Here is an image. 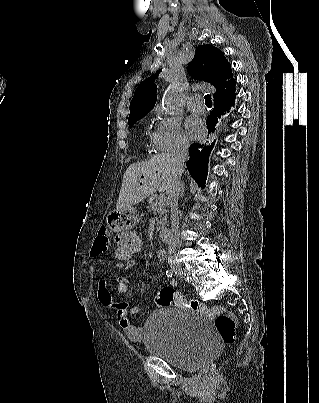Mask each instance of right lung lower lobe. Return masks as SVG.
I'll return each mask as SVG.
<instances>
[{
    "mask_svg": "<svg viewBox=\"0 0 319 403\" xmlns=\"http://www.w3.org/2000/svg\"><path fill=\"white\" fill-rule=\"evenodd\" d=\"M235 97L236 93L234 91L229 95L214 100V111L211 112L206 120L209 133L215 130L218 118H220L224 112L228 111L230 106L234 105ZM213 145L214 142L210 146L193 143L189 149L190 158L186 165L191 176L202 188L205 187L208 173V160Z\"/></svg>",
    "mask_w": 319,
    "mask_h": 403,
    "instance_id": "98d812e1",
    "label": "right lung lower lobe"
}]
</instances>
